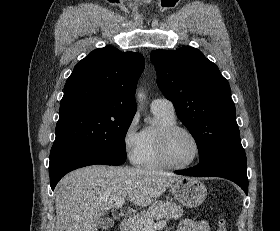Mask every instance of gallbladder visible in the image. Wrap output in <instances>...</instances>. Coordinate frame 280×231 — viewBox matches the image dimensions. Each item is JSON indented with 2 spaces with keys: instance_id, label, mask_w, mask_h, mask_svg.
I'll list each match as a JSON object with an SVG mask.
<instances>
[{
  "instance_id": "gallbladder-1",
  "label": "gallbladder",
  "mask_w": 280,
  "mask_h": 231,
  "mask_svg": "<svg viewBox=\"0 0 280 231\" xmlns=\"http://www.w3.org/2000/svg\"><path fill=\"white\" fill-rule=\"evenodd\" d=\"M99 225L101 229H110L114 225V219H111V217H101Z\"/></svg>"
}]
</instances>
